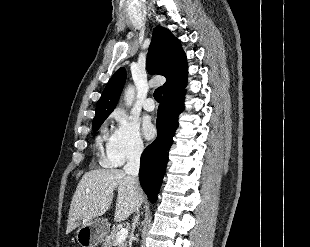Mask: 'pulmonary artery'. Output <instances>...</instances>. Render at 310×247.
<instances>
[{
  "instance_id": "obj_1",
  "label": "pulmonary artery",
  "mask_w": 310,
  "mask_h": 247,
  "mask_svg": "<svg viewBox=\"0 0 310 247\" xmlns=\"http://www.w3.org/2000/svg\"><path fill=\"white\" fill-rule=\"evenodd\" d=\"M143 108L146 111H153L155 109V103L153 101L152 98H147L144 102H143Z\"/></svg>"
}]
</instances>
